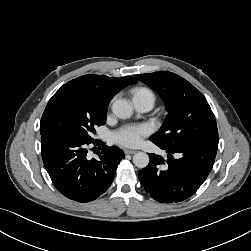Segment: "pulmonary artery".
I'll use <instances>...</instances> for the list:
<instances>
[{"label": "pulmonary artery", "instance_id": "1", "mask_svg": "<svg viewBox=\"0 0 251 251\" xmlns=\"http://www.w3.org/2000/svg\"><path fill=\"white\" fill-rule=\"evenodd\" d=\"M133 103L138 112H147L152 109L154 100L148 96H139L133 98Z\"/></svg>", "mask_w": 251, "mask_h": 251}]
</instances>
